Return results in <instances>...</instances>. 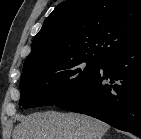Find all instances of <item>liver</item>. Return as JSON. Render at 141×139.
<instances>
[{
	"mask_svg": "<svg viewBox=\"0 0 141 139\" xmlns=\"http://www.w3.org/2000/svg\"><path fill=\"white\" fill-rule=\"evenodd\" d=\"M109 128L84 114L37 112L20 118L12 139H102Z\"/></svg>",
	"mask_w": 141,
	"mask_h": 139,
	"instance_id": "6515ba94",
	"label": "liver"
}]
</instances>
